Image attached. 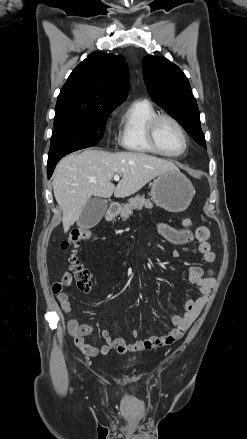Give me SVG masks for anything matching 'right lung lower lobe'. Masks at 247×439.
Returning a JSON list of instances; mask_svg holds the SVG:
<instances>
[{"label": "right lung lower lobe", "mask_w": 247, "mask_h": 439, "mask_svg": "<svg viewBox=\"0 0 247 439\" xmlns=\"http://www.w3.org/2000/svg\"><path fill=\"white\" fill-rule=\"evenodd\" d=\"M55 166H56V164L48 167V169H47L48 179H50V177L54 171Z\"/></svg>", "instance_id": "right-lung-lower-lobe-1"}]
</instances>
